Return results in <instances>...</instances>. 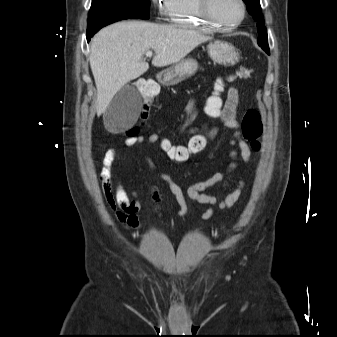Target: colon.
I'll use <instances>...</instances> for the list:
<instances>
[{
    "label": "colon",
    "mask_w": 337,
    "mask_h": 337,
    "mask_svg": "<svg viewBox=\"0 0 337 337\" xmlns=\"http://www.w3.org/2000/svg\"><path fill=\"white\" fill-rule=\"evenodd\" d=\"M237 75L244 79H249L253 75V69L249 66H241ZM221 85V83H219ZM136 86L141 93L142 103H155V98H158L157 86L148 80H139ZM203 107H223L224 101L221 94H207L206 100L202 101ZM154 113V106H141V119H152ZM204 116H221V109H204ZM139 127H133L128 131V136H136L139 133ZM243 138L249 142L252 149L260 150V139L263 133V125L261 116L258 110L249 109L243 116L241 124ZM205 146V141L201 137H194L188 141L187 146H180L173 144L171 137H162L161 144H159V151H166V156H169L170 161H183L190 154L202 151Z\"/></svg>",
    "instance_id": "obj_1"
}]
</instances>
